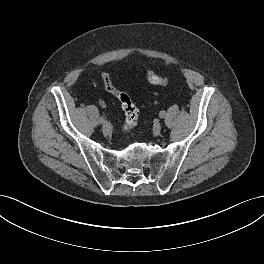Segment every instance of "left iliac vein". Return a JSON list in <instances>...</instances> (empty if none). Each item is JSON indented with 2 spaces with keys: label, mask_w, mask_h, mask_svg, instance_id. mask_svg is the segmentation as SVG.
<instances>
[{
  "label": "left iliac vein",
  "mask_w": 264,
  "mask_h": 264,
  "mask_svg": "<svg viewBox=\"0 0 264 264\" xmlns=\"http://www.w3.org/2000/svg\"><path fill=\"white\" fill-rule=\"evenodd\" d=\"M161 124L159 122H156L154 125H153V133L158 135L160 132H161Z\"/></svg>",
  "instance_id": "1"
}]
</instances>
